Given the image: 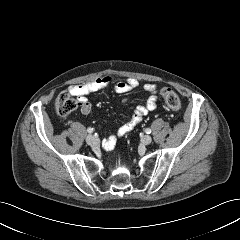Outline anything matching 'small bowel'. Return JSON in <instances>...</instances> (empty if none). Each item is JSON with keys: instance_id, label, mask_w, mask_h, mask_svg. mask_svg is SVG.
<instances>
[{"instance_id": "c3829d8e", "label": "small bowel", "mask_w": 240, "mask_h": 240, "mask_svg": "<svg viewBox=\"0 0 240 240\" xmlns=\"http://www.w3.org/2000/svg\"><path fill=\"white\" fill-rule=\"evenodd\" d=\"M139 83L136 79H127L125 81H115L113 77L104 76L99 77L94 80L88 81L83 84L72 85L68 88V91L78 97L80 103L81 113L88 115L92 110V105L88 100L87 96L91 93L112 87L117 93H127L135 90ZM144 91L149 95L147 101L138 106L129 121L121 125L115 134L109 136L104 142L105 148L111 149L116 143L118 137L124 136L132 131L140 122L143 117L151 110L156 107L157 103V88L154 84H145L143 86ZM128 99H124L123 102L126 103Z\"/></svg>"}]
</instances>
